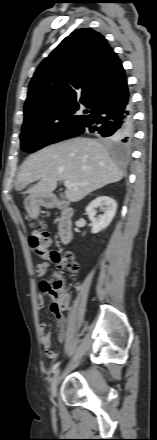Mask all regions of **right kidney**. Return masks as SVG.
<instances>
[{"label": "right kidney", "instance_id": "right-kidney-1", "mask_svg": "<svg viewBox=\"0 0 157 440\" xmlns=\"http://www.w3.org/2000/svg\"><path fill=\"white\" fill-rule=\"evenodd\" d=\"M97 208H100V210L104 211V214L96 217ZM116 210L117 203L111 197L99 196L94 199L86 207V213L92 224L91 232L96 234L108 227L115 216Z\"/></svg>", "mask_w": 157, "mask_h": 440}]
</instances>
